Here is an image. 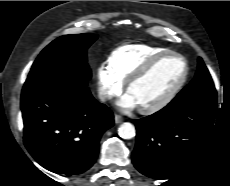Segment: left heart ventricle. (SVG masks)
I'll use <instances>...</instances> for the list:
<instances>
[{
  "label": "left heart ventricle",
  "mask_w": 230,
  "mask_h": 186,
  "mask_svg": "<svg viewBox=\"0 0 230 186\" xmlns=\"http://www.w3.org/2000/svg\"><path fill=\"white\" fill-rule=\"evenodd\" d=\"M184 63L176 56L159 61L143 78L128 90L138 107H144L160 100L182 77Z\"/></svg>",
  "instance_id": "left-heart-ventricle-1"
}]
</instances>
